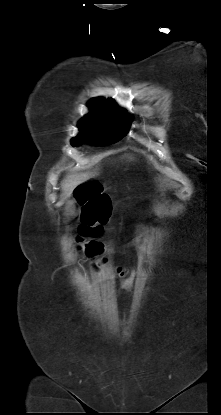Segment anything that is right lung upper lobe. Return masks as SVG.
I'll use <instances>...</instances> for the list:
<instances>
[{"label": "right lung upper lobe", "instance_id": "obj_1", "mask_svg": "<svg viewBox=\"0 0 221 415\" xmlns=\"http://www.w3.org/2000/svg\"><path fill=\"white\" fill-rule=\"evenodd\" d=\"M88 106L92 109H101L108 111H124L120 109L114 101L105 100L103 98H94L89 101Z\"/></svg>", "mask_w": 221, "mask_h": 415}]
</instances>
